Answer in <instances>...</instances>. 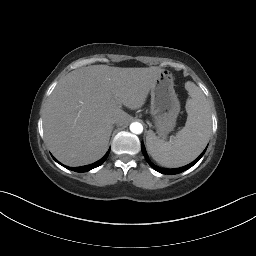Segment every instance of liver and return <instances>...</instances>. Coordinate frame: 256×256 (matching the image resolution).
<instances>
[{"instance_id": "liver-1", "label": "liver", "mask_w": 256, "mask_h": 256, "mask_svg": "<svg viewBox=\"0 0 256 256\" xmlns=\"http://www.w3.org/2000/svg\"><path fill=\"white\" fill-rule=\"evenodd\" d=\"M163 70L92 65L71 71L52 92L43 115L46 143L68 166L99 160L106 152L113 119L130 120L121 106L141 108Z\"/></svg>"}]
</instances>
